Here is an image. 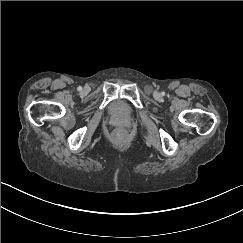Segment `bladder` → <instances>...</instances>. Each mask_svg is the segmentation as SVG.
I'll use <instances>...</instances> for the list:
<instances>
[{"label":"bladder","mask_w":243,"mask_h":243,"mask_svg":"<svg viewBox=\"0 0 243 243\" xmlns=\"http://www.w3.org/2000/svg\"><path fill=\"white\" fill-rule=\"evenodd\" d=\"M108 113L117 118H129L132 115L133 110L126 101L117 99L109 103Z\"/></svg>","instance_id":"1"}]
</instances>
